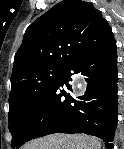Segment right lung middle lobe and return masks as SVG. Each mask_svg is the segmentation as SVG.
<instances>
[{
  "label": "right lung middle lobe",
  "mask_w": 124,
  "mask_h": 149,
  "mask_svg": "<svg viewBox=\"0 0 124 149\" xmlns=\"http://www.w3.org/2000/svg\"><path fill=\"white\" fill-rule=\"evenodd\" d=\"M63 68L44 67L23 76L11 87L9 96V130L12 148L18 144L25 128L57 81Z\"/></svg>",
  "instance_id": "obj_1"
}]
</instances>
